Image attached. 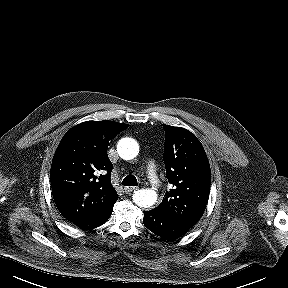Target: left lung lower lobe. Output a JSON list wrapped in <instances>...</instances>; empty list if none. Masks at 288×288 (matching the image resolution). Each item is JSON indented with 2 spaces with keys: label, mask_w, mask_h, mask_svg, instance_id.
<instances>
[{
  "label": "left lung lower lobe",
  "mask_w": 288,
  "mask_h": 288,
  "mask_svg": "<svg viewBox=\"0 0 288 288\" xmlns=\"http://www.w3.org/2000/svg\"><path fill=\"white\" fill-rule=\"evenodd\" d=\"M144 226L164 240H174L184 235L190 228L157 213L154 209L144 211Z\"/></svg>",
  "instance_id": "0a47b994"
}]
</instances>
